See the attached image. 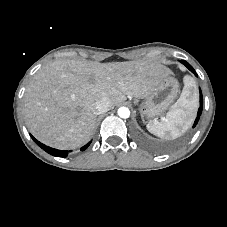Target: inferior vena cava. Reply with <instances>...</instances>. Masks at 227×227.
I'll return each mask as SVG.
<instances>
[{"instance_id": "obj_1", "label": "inferior vena cava", "mask_w": 227, "mask_h": 227, "mask_svg": "<svg viewBox=\"0 0 227 227\" xmlns=\"http://www.w3.org/2000/svg\"><path fill=\"white\" fill-rule=\"evenodd\" d=\"M112 107V103L109 98L102 97L95 102L94 114L99 115L107 112Z\"/></svg>"}]
</instances>
